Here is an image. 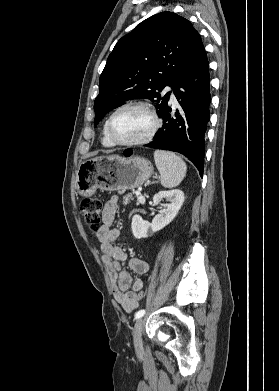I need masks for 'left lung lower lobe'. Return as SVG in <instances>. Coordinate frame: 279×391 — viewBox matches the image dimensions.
<instances>
[{"label": "left lung lower lobe", "mask_w": 279, "mask_h": 391, "mask_svg": "<svg viewBox=\"0 0 279 391\" xmlns=\"http://www.w3.org/2000/svg\"><path fill=\"white\" fill-rule=\"evenodd\" d=\"M180 110L171 114L167 105L160 117L162 128L154 140L145 145L185 155L203 174L205 133L210 119L211 102L209 62L203 48L185 76L173 88ZM125 151V155H129Z\"/></svg>", "instance_id": "0a47b994"}]
</instances>
